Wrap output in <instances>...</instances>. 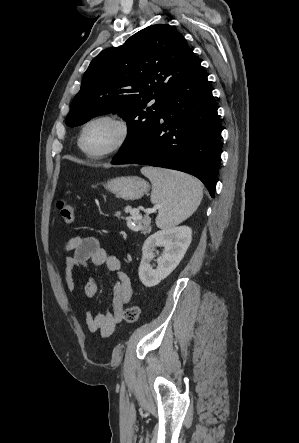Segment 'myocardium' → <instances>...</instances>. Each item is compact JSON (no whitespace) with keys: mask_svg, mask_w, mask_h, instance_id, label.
<instances>
[{"mask_svg":"<svg viewBox=\"0 0 299 443\" xmlns=\"http://www.w3.org/2000/svg\"><path fill=\"white\" fill-rule=\"evenodd\" d=\"M99 121H109L115 124L119 130V137L116 142L108 149L100 153H93L86 149L84 145V137L87 129L94 123ZM131 127L127 119L124 117L113 114V113H105L97 115L90 120H88L81 129L80 136L78 139V144L82 152L92 159H102L108 157L119 150H121L130 138Z\"/></svg>","mask_w":299,"mask_h":443,"instance_id":"1","label":"myocardium"}]
</instances>
